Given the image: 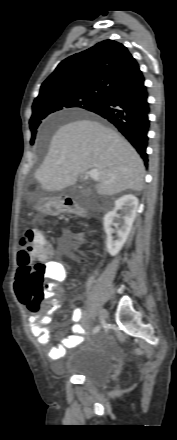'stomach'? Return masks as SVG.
Returning <instances> with one entry per match:
<instances>
[{"mask_svg":"<svg viewBox=\"0 0 177 440\" xmlns=\"http://www.w3.org/2000/svg\"><path fill=\"white\" fill-rule=\"evenodd\" d=\"M35 208L39 212L45 214L57 213L61 210V206L58 200L52 197L39 200L36 203Z\"/></svg>","mask_w":177,"mask_h":440,"instance_id":"0dacf381","label":"stomach"}]
</instances>
